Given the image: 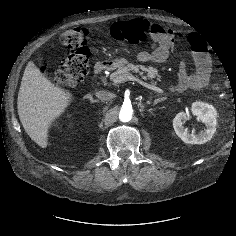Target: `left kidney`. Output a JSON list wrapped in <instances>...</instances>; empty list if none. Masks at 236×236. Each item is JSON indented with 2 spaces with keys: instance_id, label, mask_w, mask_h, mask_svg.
Instances as JSON below:
<instances>
[{
  "instance_id": "5707ae66",
  "label": "left kidney",
  "mask_w": 236,
  "mask_h": 236,
  "mask_svg": "<svg viewBox=\"0 0 236 236\" xmlns=\"http://www.w3.org/2000/svg\"><path fill=\"white\" fill-rule=\"evenodd\" d=\"M191 113L205 124V129L200 131L199 134H190L188 129L184 127L185 121L189 119V114L179 112L173 119L174 131L176 135L185 143L204 144L211 140L216 132L217 111L208 103L196 101L192 104Z\"/></svg>"
}]
</instances>
